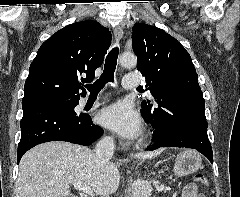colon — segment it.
I'll return each mask as SVG.
<instances>
[{
  "label": "colon",
  "mask_w": 240,
  "mask_h": 197,
  "mask_svg": "<svg viewBox=\"0 0 240 197\" xmlns=\"http://www.w3.org/2000/svg\"><path fill=\"white\" fill-rule=\"evenodd\" d=\"M195 181L198 182V183L204 184V185H206L207 182H208L206 177L202 174H197L195 176Z\"/></svg>",
  "instance_id": "1"
}]
</instances>
